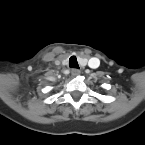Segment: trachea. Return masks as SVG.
Wrapping results in <instances>:
<instances>
[{
	"label": "trachea",
	"instance_id": "1",
	"mask_svg": "<svg viewBox=\"0 0 145 145\" xmlns=\"http://www.w3.org/2000/svg\"><path fill=\"white\" fill-rule=\"evenodd\" d=\"M69 66L71 68H79L78 62H77V58L75 56H71L69 59Z\"/></svg>",
	"mask_w": 145,
	"mask_h": 145
}]
</instances>
